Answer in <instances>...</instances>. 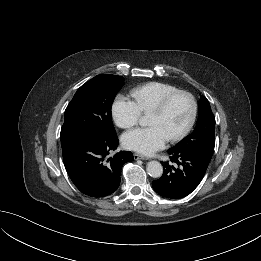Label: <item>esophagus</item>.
I'll return each mask as SVG.
<instances>
[{"mask_svg":"<svg viewBox=\"0 0 261 261\" xmlns=\"http://www.w3.org/2000/svg\"><path fill=\"white\" fill-rule=\"evenodd\" d=\"M133 156H134V159H135V160H138V159L148 160L147 157H145V156H143V155H140V154H138V153H134Z\"/></svg>","mask_w":261,"mask_h":261,"instance_id":"obj_1","label":"esophagus"}]
</instances>
